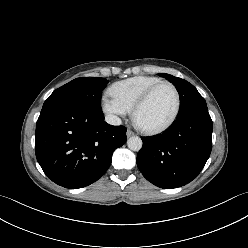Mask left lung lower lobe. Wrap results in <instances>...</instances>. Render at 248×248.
Returning a JSON list of instances; mask_svg holds the SVG:
<instances>
[{"instance_id":"1","label":"left lung lower lobe","mask_w":248,"mask_h":248,"mask_svg":"<svg viewBox=\"0 0 248 248\" xmlns=\"http://www.w3.org/2000/svg\"><path fill=\"white\" fill-rule=\"evenodd\" d=\"M212 120L207 105L177 117L162 135L142 138L137 165L143 176L165 188L184 186L195 179L212 149Z\"/></svg>"}]
</instances>
